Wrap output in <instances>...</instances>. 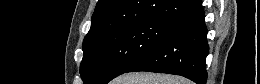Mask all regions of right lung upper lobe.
Segmentation results:
<instances>
[{
    "label": "right lung upper lobe",
    "instance_id": "1",
    "mask_svg": "<svg viewBox=\"0 0 260 84\" xmlns=\"http://www.w3.org/2000/svg\"><path fill=\"white\" fill-rule=\"evenodd\" d=\"M201 0H99L83 44L123 25L161 20L174 23L197 10Z\"/></svg>",
    "mask_w": 260,
    "mask_h": 84
}]
</instances>
